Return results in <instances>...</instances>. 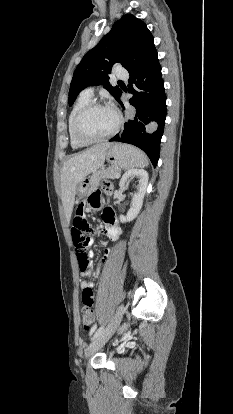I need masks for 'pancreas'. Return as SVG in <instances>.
<instances>
[{
  "label": "pancreas",
  "mask_w": 233,
  "mask_h": 414,
  "mask_svg": "<svg viewBox=\"0 0 233 414\" xmlns=\"http://www.w3.org/2000/svg\"><path fill=\"white\" fill-rule=\"evenodd\" d=\"M121 170L118 167H109L94 174L91 180V190H94L103 179H115L120 175Z\"/></svg>",
  "instance_id": "obj_1"
}]
</instances>
